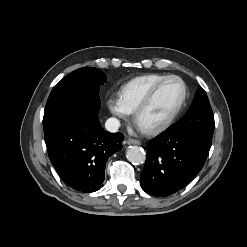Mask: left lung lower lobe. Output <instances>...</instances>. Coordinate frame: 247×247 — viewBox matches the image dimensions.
I'll use <instances>...</instances> for the list:
<instances>
[{
    "label": "left lung lower lobe",
    "instance_id": "left-lung-lower-lobe-1",
    "mask_svg": "<svg viewBox=\"0 0 247 247\" xmlns=\"http://www.w3.org/2000/svg\"><path fill=\"white\" fill-rule=\"evenodd\" d=\"M211 143L212 135L180 132L171 126L147 145L142 189L161 197L182 189L202 169Z\"/></svg>",
    "mask_w": 247,
    "mask_h": 247
}]
</instances>
